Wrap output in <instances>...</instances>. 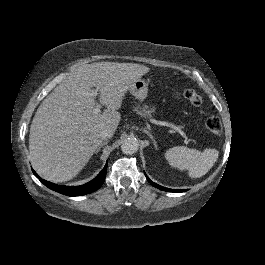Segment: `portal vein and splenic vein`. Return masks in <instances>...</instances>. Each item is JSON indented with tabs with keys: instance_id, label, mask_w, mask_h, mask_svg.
Wrapping results in <instances>:
<instances>
[{
	"instance_id": "1",
	"label": "portal vein and splenic vein",
	"mask_w": 265,
	"mask_h": 265,
	"mask_svg": "<svg viewBox=\"0 0 265 265\" xmlns=\"http://www.w3.org/2000/svg\"><path fill=\"white\" fill-rule=\"evenodd\" d=\"M94 94L97 95V91H95ZM100 108H101V105H96V107L93 109V113L98 114L100 112ZM151 122L156 125H161L164 127L172 128L175 131H178V133L181 134L183 138H185L186 142L190 141V138L187 137V133L184 132V129L182 127H179L178 125H175L174 123L166 122L165 120H159L156 118H152Z\"/></svg>"
}]
</instances>
